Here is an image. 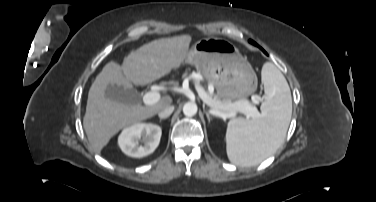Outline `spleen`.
I'll return each instance as SVG.
<instances>
[{
    "mask_svg": "<svg viewBox=\"0 0 376 202\" xmlns=\"http://www.w3.org/2000/svg\"><path fill=\"white\" fill-rule=\"evenodd\" d=\"M261 79L266 96L261 115L252 120L232 119L227 126V156L236 165L253 166L274 154L290 124L292 98L284 75L266 62Z\"/></svg>",
    "mask_w": 376,
    "mask_h": 202,
    "instance_id": "spleen-1",
    "label": "spleen"
}]
</instances>
